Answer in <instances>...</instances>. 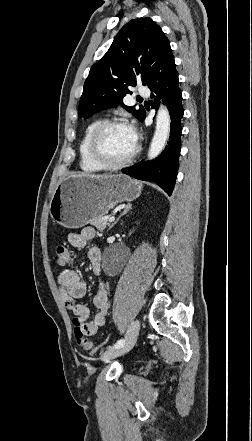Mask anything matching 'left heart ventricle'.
Segmentation results:
<instances>
[{"mask_svg":"<svg viewBox=\"0 0 252 441\" xmlns=\"http://www.w3.org/2000/svg\"><path fill=\"white\" fill-rule=\"evenodd\" d=\"M135 142L131 129L127 126L107 128L99 139V152L109 162L117 163L125 159L134 149Z\"/></svg>","mask_w":252,"mask_h":441,"instance_id":"b2bd125f","label":"left heart ventricle"}]
</instances>
